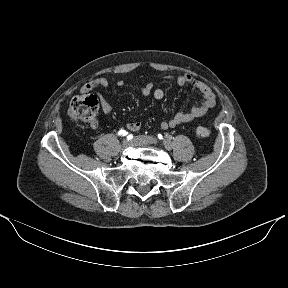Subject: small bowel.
Wrapping results in <instances>:
<instances>
[{
	"mask_svg": "<svg viewBox=\"0 0 288 288\" xmlns=\"http://www.w3.org/2000/svg\"><path fill=\"white\" fill-rule=\"evenodd\" d=\"M166 80L174 83L178 86L189 85L194 90H196L203 98V100L192 106L189 109L179 111L173 115V117L167 121L161 122L160 126L162 129L166 130L169 128H174L182 123L190 122L196 118L204 116L209 109L215 106L216 104V97L211 88L206 85L204 82L190 76L187 74L178 75V76H165ZM119 87L125 85L124 80H119L117 82ZM109 87V82L105 78H97L94 79L87 84H85L81 92L86 94L95 89L107 90ZM142 94L145 96L152 95L156 100H161L164 97V90L161 88H154L153 84L148 83L142 88ZM99 102L101 108L105 114H112L113 108L111 104L108 102L107 98L103 93H98ZM92 128H96L98 126V122L95 121L90 123ZM128 130L132 132H136L140 130L141 123L138 121H131L126 124Z\"/></svg>",
	"mask_w": 288,
	"mask_h": 288,
	"instance_id": "small-bowel-1",
	"label": "small bowel"
}]
</instances>
